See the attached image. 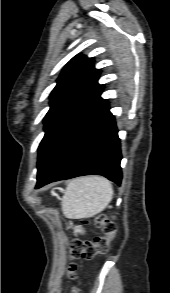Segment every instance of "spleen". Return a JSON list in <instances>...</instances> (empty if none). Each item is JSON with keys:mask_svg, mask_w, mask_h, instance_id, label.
Here are the masks:
<instances>
[{"mask_svg": "<svg viewBox=\"0 0 170 293\" xmlns=\"http://www.w3.org/2000/svg\"><path fill=\"white\" fill-rule=\"evenodd\" d=\"M112 198L113 188L106 178L80 177L67 186L62 199V208L67 218H89L103 211Z\"/></svg>", "mask_w": 170, "mask_h": 293, "instance_id": "1", "label": "spleen"}]
</instances>
